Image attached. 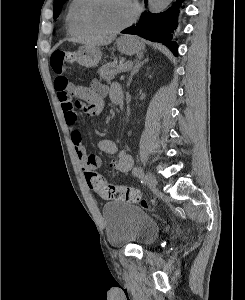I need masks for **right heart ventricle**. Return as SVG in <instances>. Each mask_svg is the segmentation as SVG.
<instances>
[{
	"label": "right heart ventricle",
	"instance_id": "1",
	"mask_svg": "<svg viewBox=\"0 0 245 300\" xmlns=\"http://www.w3.org/2000/svg\"><path fill=\"white\" fill-rule=\"evenodd\" d=\"M85 0H71L66 15V26L68 31L74 35H89V32L81 23L80 12Z\"/></svg>",
	"mask_w": 245,
	"mask_h": 300
}]
</instances>
